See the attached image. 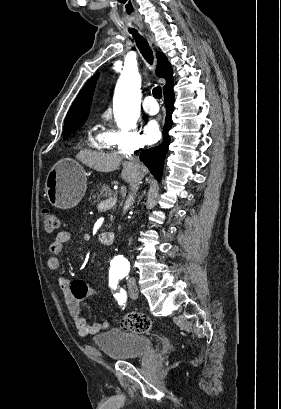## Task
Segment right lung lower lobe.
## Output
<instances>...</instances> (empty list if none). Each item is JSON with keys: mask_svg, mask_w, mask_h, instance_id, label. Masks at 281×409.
<instances>
[{"mask_svg": "<svg viewBox=\"0 0 281 409\" xmlns=\"http://www.w3.org/2000/svg\"><path fill=\"white\" fill-rule=\"evenodd\" d=\"M164 98L168 112L165 119V125L163 128V142L157 147L143 150L140 156L141 160L146 164V166L150 169L151 173L158 180H161L162 177L164 158L168 151V146L170 142L168 131L172 125L171 113L173 111L174 104L173 88L164 94Z\"/></svg>", "mask_w": 281, "mask_h": 409, "instance_id": "obj_1", "label": "right lung lower lobe"}]
</instances>
